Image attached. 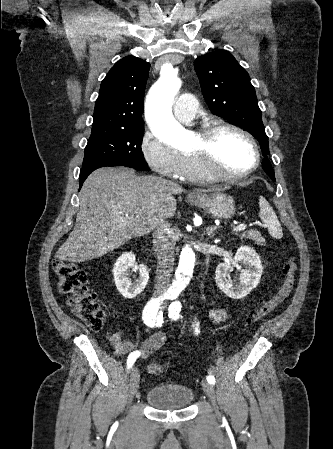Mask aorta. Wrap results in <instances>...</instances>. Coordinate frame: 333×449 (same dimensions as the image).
Segmentation results:
<instances>
[{"instance_id": "1", "label": "aorta", "mask_w": 333, "mask_h": 449, "mask_svg": "<svg viewBox=\"0 0 333 449\" xmlns=\"http://www.w3.org/2000/svg\"><path fill=\"white\" fill-rule=\"evenodd\" d=\"M181 81L173 66L166 64L161 70L160 79L152 86L146 100L145 117L151 131L161 141L174 148L185 150L190 145V136L174 119L172 104L179 91ZM195 264V254L188 244L180 249L179 264L172 289L179 294L189 283Z\"/></svg>"}]
</instances>
